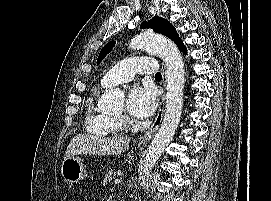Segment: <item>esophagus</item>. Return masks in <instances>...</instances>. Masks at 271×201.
<instances>
[{"mask_svg": "<svg viewBox=\"0 0 271 201\" xmlns=\"http://www.w3.org/2000/svg\"><path fill=\"white\" fill-rule=\"evenodd\" d=\"M162 87L165 90L166 72H164L163 77H162ZM164 112H165V93H163V95H162L161 102H160L159 108H158V112H157V115L155 117V120H154L151 128L137 140L138 145L145 146L149 143V141L152 139V137L157 132V130L159 129V127L162 123V120L164 117Z\"/></svg>", "mask_w": 271, "mask_h": 201, "instance_id": "1", "label": "esophagus"}]
</instances>
